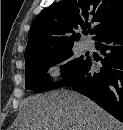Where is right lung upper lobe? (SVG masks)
Segmentation results:
<instances>
[{"label": "right lung upper lobe", "mask_w": 123, "mask_h": 130, "mask_svg": "<svg viewBox=\"0 0 123 130\" xmlns=\"http://www.w3.org/2000/svg\"><path fill=\"white\" fill-rule=\"evenodd\" d=\"M94 39L123 25V0H65L53 3L33 21L25 59L73 46L80 34L90 28ZM72 34V35H71Z\"/></svg>", "instance_id": "obj_1"}]
</instances>
